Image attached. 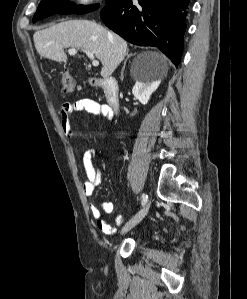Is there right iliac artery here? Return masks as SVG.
I'll return each instance as SVG.
<instances>
[{"label": "right iliac artery", "mask_w": 247, "mask_h": 299, "mask_svg": "<svg viewBox=\"0 0 247 299\" xmlns=\"http://www.w3.org/2000/svg\"><path fill=\"white\" fill-rule=\"evenodd\" d=\"M148 200V196L146 194H142V205H145Z\"/></svg>", "instance_id": "obj_1"}]
</instances>
